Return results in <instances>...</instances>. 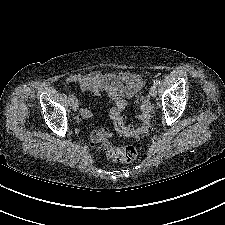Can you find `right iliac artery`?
<instances>
[{"instance_id":"obj_1","label":"right iliac artery","mask_w":225,"mask_h":225,"mask_svg":"<svg viewBox=\"0 0 225 225\" xmlns=\"http://www.w3.org/2000/svg\"><path fill=\"white\" fill-rule=\"evenodd\" d=\"M73 97V95L72 94H69V99L71 100V98Z\"/></svg>"}]
</instances>
